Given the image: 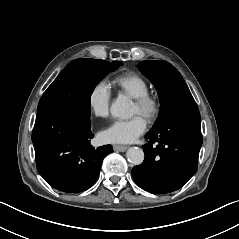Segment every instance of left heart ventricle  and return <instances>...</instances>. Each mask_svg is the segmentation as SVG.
<instances>
[{"instance_id": "obj_1", "label": "left heart ventricle", "mask_w": 239, "mask_h": 239, "mask_svg": "<svg viewBox=\"0 0 239 239\" xmlns=\"http://www.w3.org/2000/svg\"><path fill=\"white\" fill-rule=\"evenodd\" d=\"M132 111H133V113H140L141 114L140 109L135 102L133 103Z\"/></svg>"}]
</instances>
